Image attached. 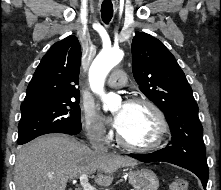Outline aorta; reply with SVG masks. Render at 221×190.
<instances>
[{
  "mask_svg": "<svg viewBox=\"0 0 221 190\" xmlns=\"http://www.w3.org/2000/svg\"><path fill=\"white\" fill-rule=\"evenodd\" d=\"M123 56L124 53L120 49L102 50L94 59L89 70L91 89L101 96L105 111L119 102L118 97L104 93V82L108 73L122 60Z\"/></svg>",
  "mask_w": 221,
  "mask_h": 190,
  "instance_id": "obj_1",
  "label": "aorta"
}]
</instances>
